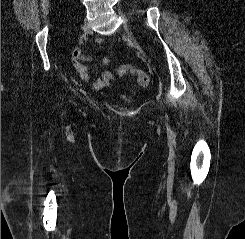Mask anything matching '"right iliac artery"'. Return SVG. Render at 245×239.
<instances>
[{"label": "right iliac artery", "instance_id": "1", "mask_svg": "<svg viewBox=\"0 0 245 239\" xmlns=\"http://www.w3.org/2000/svg\"><path fill=\"white\" fill-rule=\"evenodd\" d=\"M87 39V34L84 33L81 37H80V43H83L84 40Z\"/></svg>", "mask_w": 245, "mask_h": 239}]
</instances>
